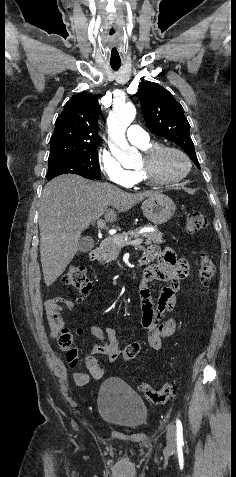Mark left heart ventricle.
I'll list each match as a JSON object with an SVG mask.
<instances>
[{
    "instance_id": "left-heart-ventricle-1",
    "label": "left heart ventricle",
    "mask_w": 236,
    "mask_h": 477,
    "mask_svg": "<svg viewBox=\"0 0 236 477\" xmlns=\"http://www.w3.org/2000/svg\"><path fill=\"white\" fill-rule=\"evenodd\" d=\"M186 162L178 154L167 153L159 161L157 176L163 179L174 178L185 172Z\"/></svg>"
}]
</instances>
